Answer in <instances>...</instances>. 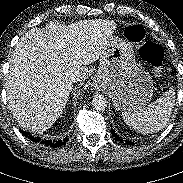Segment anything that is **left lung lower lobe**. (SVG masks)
Returning <instances> with one entry per match:
<instances>
[{"mask_svg": "<svg viewBox=\"0 0 183 183\" xmlns=\"http://www.w3.org/2000/svg\"><path fill=\"white\" fill-rule=\"evenodd\" d=\"M111 133L115 137V139L118 140V141H120L121 143H126L127 145H133L134 144V142L121 139L119 136H117L115 134V132L113 130H111Z\"/></svg>", "mask_w": 183, "mask_h": 183, "instance_id": "left-lung-lower-lobe-1", "label": "left lung lower lobe"}]
</instances>
